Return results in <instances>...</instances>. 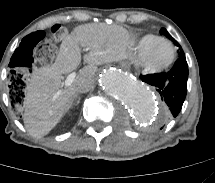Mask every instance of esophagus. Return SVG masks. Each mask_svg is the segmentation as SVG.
I'll list each match as a JSON object with an SVG mask.
<instances>
[{
	"mask_svg": "<svg viewBox=\"0 0 215 183\" xmlns=\"http://www.w3.org/2000/svg\"><path fill=\"white\" fill-rule=\"evenodd\" d=\"M122 66L127 67L128 64H127L126 62H123V63H122Z\"/></svg>",
	"mask_w": 215,
	"mask_h": 183,
	"instance_id": "34e87169",
	"label": "esophagus"
}]
</instances>
